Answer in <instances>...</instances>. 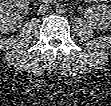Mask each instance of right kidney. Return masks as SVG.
<instances>
[{
  "instance_id": "ca27d5eb",
  "label": "right kidney",
  "mask_w": 111,
  "mask_h": 106,
  "mask_svg": "<svg viewBox=\"0 0 111 106\" xmlns=\"http://www.w3.org/2000/svg\"><path fill=\"white\" fill-rule=\"evenodd\" d=\"M27 0H2L0 3L1 30L5 33L11 32L22 24V17L18 11H28ZM17 12H14L15 9Z\"/></svg>"
}]
</instances>
